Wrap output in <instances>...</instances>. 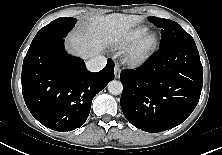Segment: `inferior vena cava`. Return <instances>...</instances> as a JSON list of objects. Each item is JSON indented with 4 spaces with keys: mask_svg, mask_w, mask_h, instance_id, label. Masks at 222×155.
<instances>
[{
    "mask_svg": "<svg viewBox=\"0 0 222 155\" xmlns=\"http://www.w3.org/2000/svg\"><path fill=\"white\" fill-rule=\"evenodd\" d=\"M106 63V57L102 55H96L86 62V67L91 72H98L105 67Z\"/></svg>",
    "mask_w": 222,
    "mask_h": 155,
    "instance_id": "inferior-vena-cava-1",
    "label": "inferior vena cava"
}]
</instances>
